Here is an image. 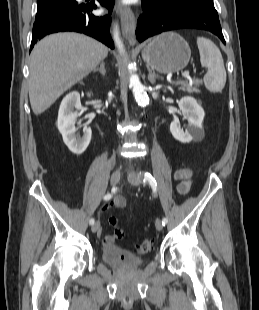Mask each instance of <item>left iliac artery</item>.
<instances>
[{"mask_svg": "<svg viewBox=\"0 0 259 310\" xmlns=\"http://www.w3.org/2000/svg\"><path fill=\"white\" fill-rule=\"evenodd\" d=\"M139 174L143 178V182L148 183L151 186L153 193L156 194L157 183L156 180L153 178V176L149 172H143V173L140 172ZM167 222H168L167 218L162 219V225L165 226Z\"/></svg>", "mask_w": 259, "mask_h": 310, "instance_id": "left-iliac-artery-1", "label": "left iliac artery"}]
</instances>
